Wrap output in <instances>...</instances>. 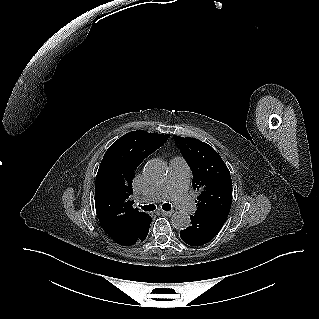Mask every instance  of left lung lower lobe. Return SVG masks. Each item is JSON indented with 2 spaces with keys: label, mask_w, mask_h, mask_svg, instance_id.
<instances>
[{
  "label": "left lung lower lobe",
  "mask_w": 319,
  "mask_h": 319,
  "mask_svg": "<svg viewBox=\"0 0 319 319\" xmlns=\"http://www.w3.org/2000/svg\"><path fill=\"white\" fill-rule=\"evenodd\" d=\"M227 217L222 214L195 213L190 216L191 225L180 231V237L188 245H204L218 234Z\"/></svg>",
  "instance_id": "0a47b994"
}]
</instances>
